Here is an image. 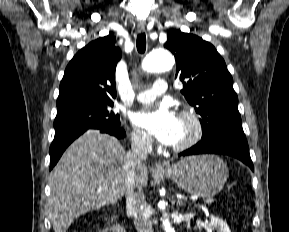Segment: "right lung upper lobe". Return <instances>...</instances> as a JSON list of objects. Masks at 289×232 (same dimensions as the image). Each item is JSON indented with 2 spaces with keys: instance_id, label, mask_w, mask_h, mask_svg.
Returning <instances> with one entry per match:
<instances>
[{
  "instance_id": "1",
  "label": "right lung upper lobe",
  "mask_w": 289,
  "mask_h": 232,
  "mask_svg": "<svg viewBox=\"0 0 289 232\" xmlns=\"http://www.w3.org/2000/svg\"><path fill=\"white\" fill-rule=\"evenodd\" d=\"M114 36L101 37L82 48L69 62L56 102L61 107L75 102L113 103L115 70L121 51Z\"/></svg>"
}]
</instances>
